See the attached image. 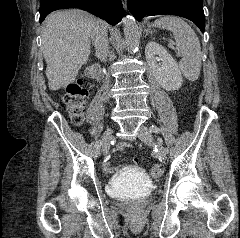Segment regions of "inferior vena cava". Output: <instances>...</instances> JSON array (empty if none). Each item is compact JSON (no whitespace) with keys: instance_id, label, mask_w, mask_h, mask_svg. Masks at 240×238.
Segmentation results:
<instances>
[{"instance_id":"602c4592","label":"inferior vena cava","mask_w":240,"mask_h":238,"mask_svg":"<svg viewBox=\"0 0 240 238\" xmlns=\"http://www.w3.org/2000/svg\"><path fill=\"white\" fill-rule=\"evenodd\" d=\"M96 55L101 61H106L109 56V42L105 26H97L91 34Z\"/></svg>"}]
</instances>
